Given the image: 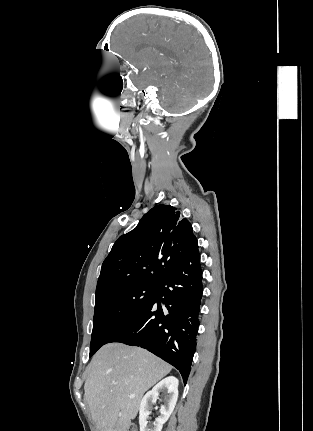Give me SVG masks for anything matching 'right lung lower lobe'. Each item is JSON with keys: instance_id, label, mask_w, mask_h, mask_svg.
I'll use <instances>...</instances> for the list:
<instances>
[{"instance_id": "98d812e1", "label": "right lung lower lobe", "mask_w": 313, "mask_h": 431, "mask_svg": "<svg viewBox=\"0 0 313 431\" xmlns=\"http://www.w3.org/2000/svg\"><path fill=\"white\" fill-rule=\"evenodd\" d=\"M202 292L200 254L194 239L151 298L107 343L147 349L177 368L186 384L196 348Z\"/></svg>"}]
</instances>
